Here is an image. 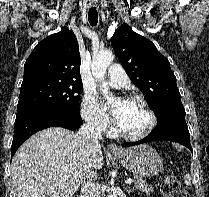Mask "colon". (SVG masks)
<instances>
[{"instance_id":"colon-1","label":"colon","mask_w":209,"mask_h":197,"mask_svg":"<svg viewBox=\"0 0 209 197\" xmlns=\"http://www.w3.org/2000/svg\"><path fill=\"white\" fill-rule=\"evenodd\" d=\"M160 187L165 197H190L180 186L178 179L173 176L163 177Z\"/></svg>"}]
</instances>
